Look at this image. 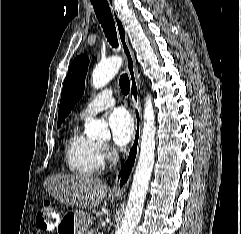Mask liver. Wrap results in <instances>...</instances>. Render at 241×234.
Segmentation results:
<instances>
[{
    "label": "liver",
    "instance_id": "obj_1",
    "mask_svg": "<svg viewBox=\"0 0 241 234\" xmlns=\"http://www.w3.org/2000/svg\"><path fill=\"white\" fill-rule=\"evenodd\" d=\"M43 185L61 203L81 209L96 207L109 190L106 182L87 174H54Z\"/></svg>",
    "mask_w": 241,
    "mask_h": 234
}]
</instances>
